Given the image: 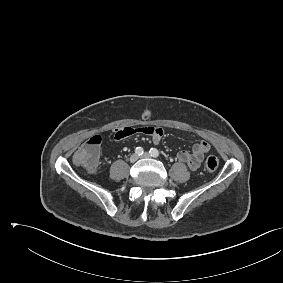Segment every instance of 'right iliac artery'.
I'll return each instance as SVG.
<instances>
[{
  "label": "right iliac artery",
  "instance_id": "1",
  "mask_svg": "<svg viewBox=\"0 0 283 283\" xmlns=\"http://www.w3.org/2000/svg\"><path fill=\"white\" fill-rule=\"evenodd\" d=\"M135 153H136L137 155H142V154L144 153V150H143L142 147H137V148L135 149Z\"/></svg>",
  "mask_w": 283,
  "mask_h": 283
}]
</instances>
